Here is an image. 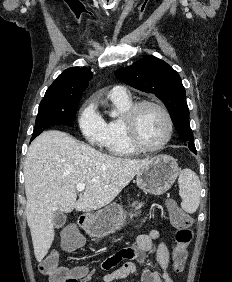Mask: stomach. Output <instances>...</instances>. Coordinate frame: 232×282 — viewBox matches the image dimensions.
<instances>
[{
	"mask_svg": "<svg viewBox=\"0 0 232 282\" xmlns=\"http://www.w3.org/2000/svg\"><path fill=\"white\" fill-rule=\"evenodd\" d=\"M177 161L169 155H157L136 174V183L145 193L162 195L174 184L179 174ZM136 202L133 203L135 205ZM125 220V211L113 203L95 215L90 216L84 229L88 235L103 238L119 230Z\"/></svg>",
	"mask_w": 232,
	"mask_h": 282,
	"instance_id": "obj_1",
	"label": "stomach"
}]
</instances>
